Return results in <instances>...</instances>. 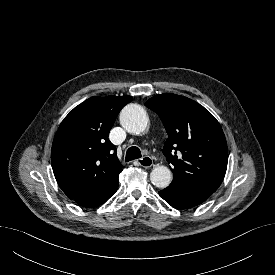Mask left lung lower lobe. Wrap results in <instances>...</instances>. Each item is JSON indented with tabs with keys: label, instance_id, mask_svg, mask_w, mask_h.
<instances>
[{
	"label": "left lung lower lobe",
	"instance_id": "0a47b994",
	"mask_svg": "<svg viewBox=\"0 0 275 275\" xmlns=\"http://www.w3.org/2000/svg\"><path fill=\"white\" fill-rule=\"evenodd\" d=\"M212 193L202 187L186 184H170L159 195L176 209H188L201 204Z\"/></svg>",
	"mask_w": 275,
	"mask_h": 275
}]
</instances>
